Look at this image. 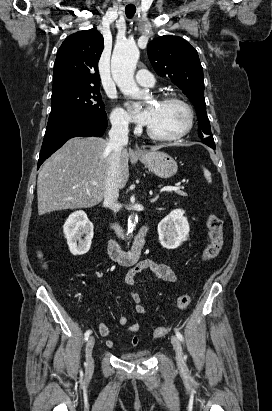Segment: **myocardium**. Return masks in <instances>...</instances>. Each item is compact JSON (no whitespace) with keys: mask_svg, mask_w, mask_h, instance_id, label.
Listing matches in <instances>:
<instances>
[{"mask_svg":"<svg viewBox=\"0 0 272 411\" xmlns=\"http://www.w3.org/2000/svg\"><path fill=\"white\" fill-rule=\"evenodd\" d=\"M159 102L162 103H177L179 105H181L182 107H184V109L186 110L187 114H188V122L187 125L185 126V128L179 132L178 134L175 135H171V136H164V135H159L156 134L154 131H152L149 126L146 128V133L147 135L157 141H161V142H173V141H177L180 140L182 138H184L193 128L194 126V121H195V114H194V110L191 107V105L185 101L184 99L178 97V96H174V95H163L159 98Z\"/></svg>","mask_w":272,"mask_h":411,"instance_id":"obj_1","label":"myocardium"}]
</instances>
